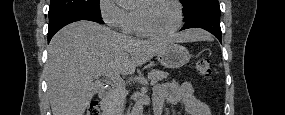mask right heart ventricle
Returning <instances> with one entry per match:
<instances>
[{
    "instance_id": "right-heart-ventricle-1",
    "label": "right heart ventricle",
    "mask_w": 285,
    "mask_h": 115,
    "mask_svg": "<svg viewBox=\"0 0 285 115\" xmlns=\"http://www.w3.org/2000/svg\"><path fill=\"white\" fill-rule=\"evenodd\" d=\"M132 20H131V31L135 32L139 35H145V33L141 30L139 23H138V18L135 13L131 14Z\"/></svg>"
}]
</instances>
